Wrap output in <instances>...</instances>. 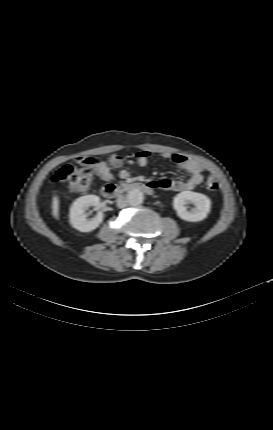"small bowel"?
<instances>
[{"mask_svg":"<svg viewBox=\"0 0 273 430\" xmlns=\"http://www.w3.org/2000/svg\"><path fill=\"white\" fill-rule=\"evenodd\" d=\"M160 155L176 163L181 170L189 174V178L186 180H155L151 182L154 188L165 191H187L194 189L202 183L204 167L200 163L190 160L178 153L162 152ZM150 157L151 153L143 150L137 153L136 161L139 166L143 167L149 163ZM85 158L88 161V166L94 173L106 182H110L114 178L112 168L120 169L119 176L122 179H127L130 176V172L127 169H122L124 160L123 157L118 154H112L101 161L90 157Z\"/></svg>","mask_w":273,"mask_h":430,"instance_id":"small-bowel-1","label":"small bowel"}]
</instances>
